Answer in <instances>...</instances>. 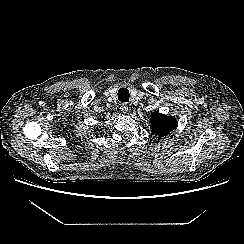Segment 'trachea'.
Here are the masks:
<instances>
[{"mask_svg":"<svg viewBox=\"0 0 244 244\" xmlns=\"http://www.w3.org/2000/svg\"><path fill=\"white\" fill-rule=\"evenodd\" d=\"M118 100L121 102H128L129 101V91L126 88H120L118 91Z\"/></svg>","mask_w":244,"mask_h":244,"instance_id":"1","label":"trachea"}]
</instances>
